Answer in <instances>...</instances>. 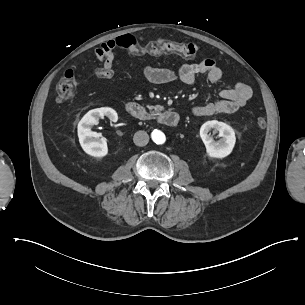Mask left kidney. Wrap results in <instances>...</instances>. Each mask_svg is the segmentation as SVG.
Segmentation results:
<instances>
[{"instance_id": "5707ae66", "label": "left kidney", "mask_w": 305, "mask_h": 305, "mask_svg": "<svg viewBox=\"0 0 305 305\" xmlns=\"http://www.w3.org/2000/svg\"><path fill=\"white\" fill-rule=\"evenodd\" d=\"M213 129L218 131L223 137L219 142H215L208 136V132ZM200 138L206 147V155L211 159H224L228 157L236 144V137L233 128L224 122L210 120L205 122L200 128Z\"/></svg>"}]
</instances>
